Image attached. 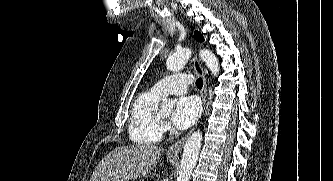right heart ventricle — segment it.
I'll return each mask as SVG.
<instances>
[{
	"label": "right heart ventricle",
	"mask_w": 333,
	"mask_h": 181,
	"mask_svg": "<svg viewBox=\"0 0 333 181\" xmlns=\"http://www.w3.org/2000/svg\"><path fill=\"white\" fill-rule=\"evenodd\" d=\"M161 96L153 91L140 94L134 101L129 123V137L138 144H154L162 138V122L158 117Z\"/></svg>",
	"instance_id": "1"
}]
</instances>
